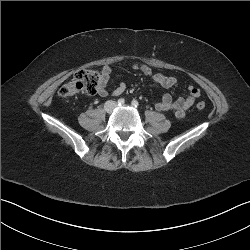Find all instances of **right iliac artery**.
<instances>
[{
  "mask_svg": "<svg viewBox=\"0 0 250 250\" xmlns=\"http://www.w3.org/2000/svg\"><path fill=\"white\" fill-rule=\"evenodd\" d=\"M117 103H118L119 106H122V105H124L125 100H124L123 98H120V99L117 101Z\"/></svg>",
  "mask_w": 250,
  "mask_h": 250,
  "instance_id": "right-iliac-artery-1",
  "label": "right iliac artery"
}]
</instances>
